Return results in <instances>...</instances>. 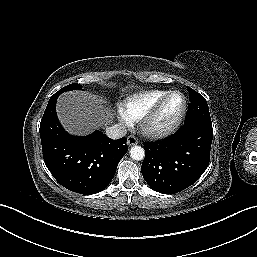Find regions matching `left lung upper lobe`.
Here are the masks:
<instances>
[{
	"label": "left lung upper lobe",
	"instance_id": "obj_1",
	"mask_svg": "<svg viewBox=\"0 0 257 257\" xmlns=\"http://www.w3.org/2000/svg\"><path fill=\"white\" fill-rule=\"evenodd\" d=\"M189 91V106L185 118L186 122L202 121L211 123L208 104L203 96L188 87Z\"/></svg>",
	"mask_w": 257,
	"mask_h": 257
}]
</instances>
